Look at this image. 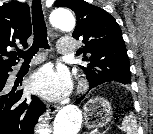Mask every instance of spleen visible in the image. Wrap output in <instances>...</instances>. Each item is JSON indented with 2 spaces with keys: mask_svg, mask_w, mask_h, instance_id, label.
<instances>
[{
  "mask_svg": "<svg viewBox=\"0 0 153 134\" xmlns=\"http://www.w3.org/2000/svg\"><path fill=\"white\" fill-rule=\"evenodd\" d=\"M121 130L126 134H136L137 124L133 113L126 115L121 124Z\"/></svg>",
  "mask_w": 153,
  "mask_h": 134,
  "instance_id": "1",
  "label": "spleen"
}]
</instances>
